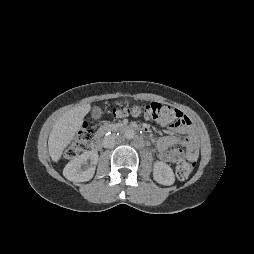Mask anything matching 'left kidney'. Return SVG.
I'll return each mask as SVG.
<instances>
[{"label":"left kidney","instance_id":"left-kidney-1","mask_svg":"<svg viewBox=\"0 0 254 254\" xmlns=\"http://www.w3.org/2000/svg\"><path fill=\"white\" fill-rule=\"evenodd\" d=\"M153 177L157 183L166 186L172 185L175 182V176L172 168L161 161L154 163Z\"/></svg>","mask_w":254,"mask_h":254}]
</instances>
